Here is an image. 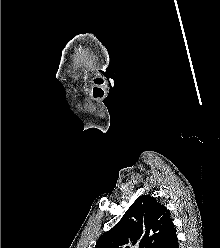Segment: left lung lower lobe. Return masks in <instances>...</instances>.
<instances>
[{"label":"left lung lower lobe","instance_id":"0a47b994","mask_svg":"<svg viewBox=\"0 0 220 248\" xmlns=\"http://www.w3.org/2000/svg\"><path fill=\"white\" fill-rule=\"evenodd\" d=\"M161 248H179L175 228L172 229L171 234Z\"/></svg>","mask_w":220,"mask_h":248}]
</instances>
